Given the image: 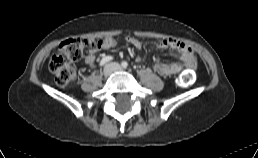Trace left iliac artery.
<instances>
[{"instance_id":"left-iliac-artery-1","label":"left iliac artery","mask_w":258,"mask_h":158,"mask_svg":"<svg viewBox=\"0 0 258 158\" xmlns=\"http://www.w3.org/2000/svg\"><path fill=\"white\" fill-rule=\"evenodd\" d=\"M121 65H122L123 68H127L128 63L126 61H123Z\"/></svg>"}]
</instances>
